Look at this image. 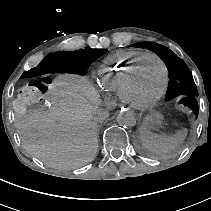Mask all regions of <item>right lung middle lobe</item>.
<instances>
[{
    "mask_svg": "<svg viewBox=\"0 0 211 211\" xmlns=\"http://www.w3.org/2000/svg\"><path fill=\"white\" fill-rule=\"evenodd\" d=\"M107 50L106 49H86L84 52V61L83 69L80 74L84 75L87 72L88 67L93 61L103 55Z\"/></svg>",
    "mask_w": 211,
    "mask_h": 211,
    "instance_id": "1",
    "label": "right lung middle lobe"
}]
</instances>
